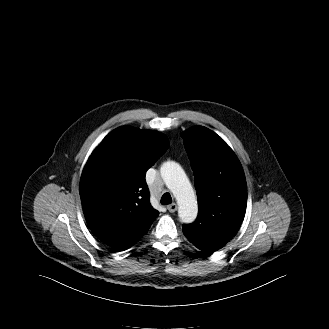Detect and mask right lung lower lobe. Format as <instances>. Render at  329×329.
Segmentation results:
<instances>
[{"label": "right lung lower lobe", "mask_w": 329, "mask_h": 329, "mask_svg": "<svg viewBox=\"0 0 329 329\" xmlns=\"http://www.w3.org/2000/svg\"><path fill=\"white\" fill-rule=\"evenodd\" d=\"M128 249V248H127ZM123 250H126V249H123ZM116 251H122V250H116Z\"/></svg>", "instance_id": "98d812e1"}]
</instances>
